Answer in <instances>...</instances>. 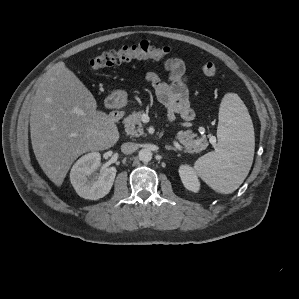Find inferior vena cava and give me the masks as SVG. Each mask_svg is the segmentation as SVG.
<instances>
[{
	"label": "inferior vena cava",
	"instance_id": "obj_1",
	"mask_svg": "<svg viewBox=\"0 0 299 299\" xmlns=\"http://www.w3.org/2000/svg\"><path fill=\"white\" fill-rule=\"evenodd\" d=\"M138 149V145L132 142H126L121 145V151L124 154H132Z\"/></svg>",
	"mask_w": 299,
	"mask_h": 299
}]
</instances>
